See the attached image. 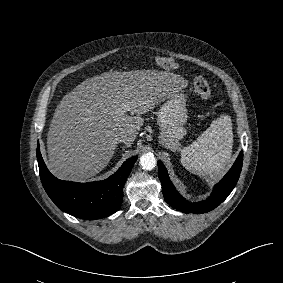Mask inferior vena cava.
Returning a JSON list of instances; mask_svg holds the SVG:
<instances>
[{
    "mask_svg": "<svg viewBox=\"0 0 283 283\" xmlns=\"http://www.w3.org/2000/svg\"><path fill=\"white\" fill-rule=\"evenodd\" d=\"M115 142L116 143H126L127 142V137L124 136V135L117 136L115 138Z\"/></svg>",
    "mask_w": 283,
    "mask_h": 283,
    "instance_id": "inferior-vena-cava-1",
    "label": "inferior vena cava"
}]
</instances>
